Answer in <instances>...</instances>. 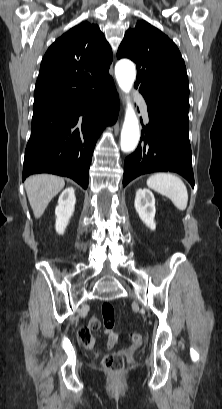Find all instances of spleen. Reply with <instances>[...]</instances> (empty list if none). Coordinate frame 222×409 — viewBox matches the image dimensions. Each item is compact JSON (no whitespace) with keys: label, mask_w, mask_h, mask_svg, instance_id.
I'll list each match as a JSON object with an SVG mask.
<instances>
[{"label":"spleen","mask_w":222,"mask_h":409,"mask_svg":"<svg viewBox=\"0 0 222 409\" xmlns=\"http://www.w3.org/2000/svg\"><path fill=\"white\" fill-rule=\"evenodd\" d=\"M147 186L169 198L177 209L184 211L188 204V192L184 182L170 173H157L150 176Z\"/></svg>","instance_id":"spleen-1"}]
</instances>
